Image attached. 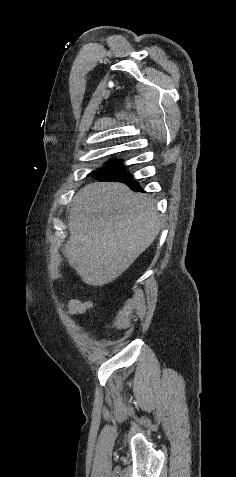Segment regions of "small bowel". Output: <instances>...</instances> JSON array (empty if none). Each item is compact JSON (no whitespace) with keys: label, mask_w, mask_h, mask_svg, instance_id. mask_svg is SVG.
Returning <instances> with one entry per match:
<instances>
[{"label":"small bowel","mask_w":236,"mask_h":477,"mask_svg":"<svg viewBox=\"0 0 236 477\" xmlns=\"http://www.w3.org/2000/svg\"><path fill=\"white\" fill-rule=\"evenodd\" d=\"M91 309V304L88 301H82L79 299H72L67 305V314L70 317L84 316Z\"/></svg>","instance_id":"1"}]
</instances>
